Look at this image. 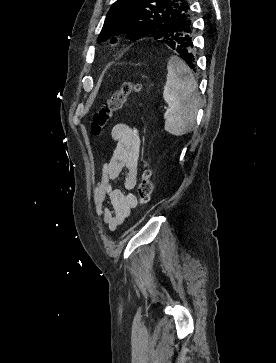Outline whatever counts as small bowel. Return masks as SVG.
Instances as JSON below:
<instances>
[{"label":"small bowel","instance_id":"small-bowel-1","mask_svg":"<svg viewBox=\"0 0 276 363\" xmlns=\"http://www.w3.org/2000/svg\"><path fill=\"white\" fill-rule=\"evenodd\" d=\"M111 138L115 142V149L109 161L104 164L102 176L93 190V202L96 215L114 231L137 206L136 195L114 188L113 181L126 169L124 188L131 191L136 186L140 137L135 126L117 123L111 130Z\"/></svg>","mask_w":276,"mask_h":363}]
</instances>
